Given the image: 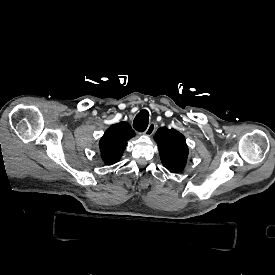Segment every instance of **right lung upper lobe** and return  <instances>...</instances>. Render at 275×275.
<instances>
[{"label":"right lung upper lobe","mask_w":275,"mask_h":275,"mask_svg":"<svg viewBox=\"0 0 275 275\" xmlns=\"http://www.w3.org/2000/svg\"><path fill=\"white\" fill-rule=\"evenodd\" d=\"M135 136V132L127 122L111 125L99 142L101 157L106 165H112L121 158L127 141Z\"/></svg>","instance_id":"1"}]
</instances>
